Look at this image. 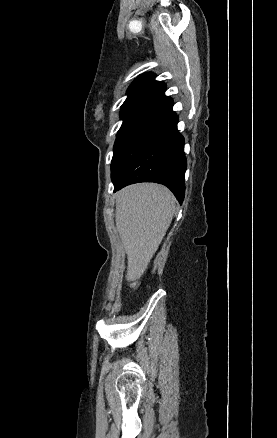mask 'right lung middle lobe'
<instances>
[{"mask_svg": "<svg viewBox=\"0 0 277 438\" xmlns=\"http://www.w3.org/2000/svg\"><path fill=\"white\" fill-rule=\"evenodd\" d=\"M168 111L122 116L111 164L113 182L119 180L162 125Z\"/></svg>", "mask_w": 277, "mask_h": 438, "instance_id": "obj_1", "label": "right lung middle lobe"}]
</instances>
